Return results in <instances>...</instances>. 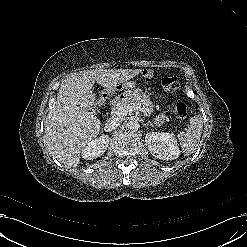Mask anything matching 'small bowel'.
<instances>
[{"instance_id":"c3829d8e","label":"small bowel","mask_w":247,"mask_h":247,"mask_svg":"<svg viewBox=\"0 0 247 247\" xmlns=\"http://www.w3.org/2000/svg\"><path fill=\"white\" fill-rule=\"evenodd\" d=\"M153 76H154V71L152 69H148L143 72V77L146 80H151Z\"/></svg>"}]
</instances>
